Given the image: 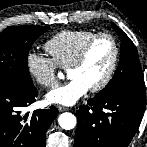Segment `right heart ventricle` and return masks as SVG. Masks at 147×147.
Returning a JSON list of instances; mask_svg holds the SVG:
<instances>
[{"mask_svg": "<svg viewBox=\"0 0 147 147\" xmlns=\"http://www.w3.org/2000/svg\"><path fill=\"white\" fill-rule=\"evenodd\" d=\"M95 34L90 30H64L52 36L44 48L58 67L67 69L83 45Z\"/></svg>", "mask_w": 147, "mask_h": 147, "instance_id": "right-heart-ventricle-1", "label": "right heart ventricle"}]
</instances>
